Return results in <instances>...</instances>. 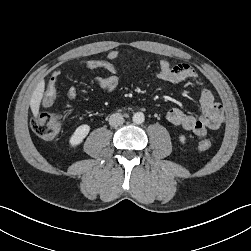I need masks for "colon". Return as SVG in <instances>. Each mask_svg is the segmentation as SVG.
Masks as SVG:
<instances>
[{"mask_svg":"<svg viewBox=\"0 0 251 251\" xmlns=\"http://www.w3.org/2000/svg\"><path fill=\"white\" fill-rule=\"evenodd\" d=\"M33 130L38 136L45 140H51L58 136L62 127V117L56 111H44L33 117L31 122ZM211 142L202 140L198 143V148L202 151L208 150Z\"/></svg>","mask_w":251,"mask_h":251,"instance_id":"1","label":"colon"}]
</instances>
